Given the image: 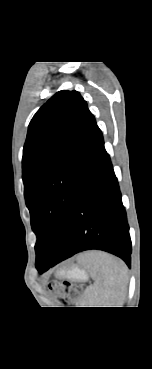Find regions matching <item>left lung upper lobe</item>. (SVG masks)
I'll return each mask as SVG.
<instances>
[{
  "label": "left lung upper lobe",
  "instance_id": "obj_1",
  "mask_svg": "<svg viewBox=\"0 0 152 369\" xmlns=\"http://www.w3.org/2000/svg\"><path fill=\"white\" fill-rule=\"evenodd\" d=\"M97 129L86 101L75 90L57 92L29 124L22 179L37 236L36 266L60 249Z\"/></svg>",
  "mask_w": 152,
  "mask_h": 369
}]
</instances>
